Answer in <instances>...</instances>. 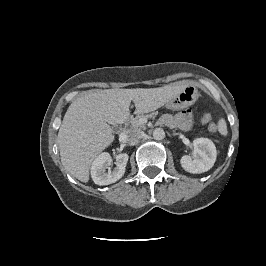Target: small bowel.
<instances>
[{
  "label": "small bowel",
  "instance_id": "obj_1",
  "mask_svg": "<svg viewBox=\"0 0 266 266\" xmlns=\"http://www.w3.org/2000/svg\"><path fill=\"white\" fill-rule=\"evenodd\" d=\"M162 122L170 127H177L183 130H187L192 126V113L190 110H186L176 115L167 114L163 116Z\"/></svg>",
  "mask_w": 266,
  "mask_h": 266
}]
</instances>
